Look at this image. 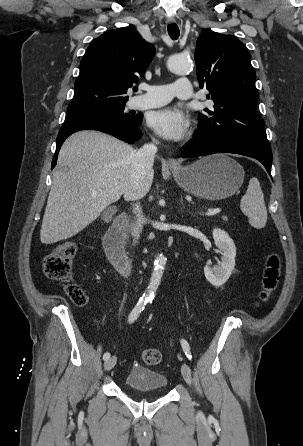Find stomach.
Returning <instances> with one entry per match:
<instances>
[{
	"label": "stomach",
	"mask_w": 303,
	"mask_h": 446,
	"mask_svg": "<svg viewBox=\"0 0 303 446\" xmlns=\"http://www.w3.org/2000/svg\"><path fill=\"white\" fill-rule=\"evenodd\" d=\"M177 184L185 191L207 200L234 195L244 181V169L224 154L203 157L182 167H171Z\"/></svg>",
	"instance_id": "stomach-1"
}]
</instances>
